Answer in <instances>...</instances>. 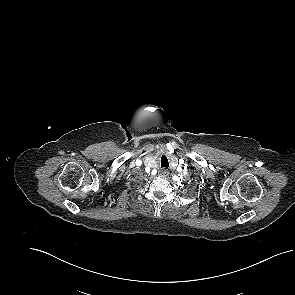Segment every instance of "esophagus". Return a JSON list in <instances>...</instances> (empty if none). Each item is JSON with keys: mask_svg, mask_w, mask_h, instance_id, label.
Returning <instances> with one entry per match:
<instances>
[{"mask_svg": "<svg viewBox=\"0 0 295 295\" xmlns=\"http://www.w3.org/2000/svg\"><path fill=\"white\" fill-rule=\"evenodd\" d=\"M169 175V172L167 171V170H165V169H162V170H160V172H159V176L160 177H167Z\"/></svg>", "mask_w": 295, "mask_h": 295, "instance_id": "34e87169", "label": "esophagus"}]
</instances>
